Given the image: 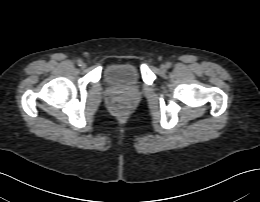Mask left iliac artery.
I'll use <instances>...</instances> for the list:
<instances>
[{"label": "left iliac artery", "mask_w": 260, "mask_h": 202, "mask_svg": "<svg viewBox=\"0 0 260 202\" xmlns=\"http://www.w3.org/2000/svg\"><path fill=\"white\" fill-rule=\"evenodd\" d=\"M171 65H172V64H171L170 62H167V63H166V67H167V68H170Z\"/></svg>", "instance_id": "left-iliac-artery-1"}]
</instances>
